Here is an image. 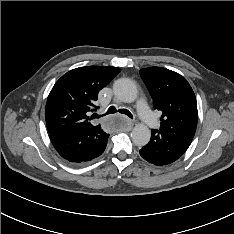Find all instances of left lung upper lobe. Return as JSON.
I'll list each match as a JSON object with an SVG mask.
<instances>
[{
  "mask_svg": "<svg viewBox=\"0 0 234 234\" xmlns=\"http://www.w3.org/2000/svg\"><path fill=\"white\" fill-rule=\"evenodd\" d=\"M153 99L154 109L162 112L158 132L185 151L195 135L198 112L195 94L180 74L161 67L140 70Z\"/></svg>",
  "mask_w": 234,
  "mask_h": 234,
  "instance_id": "5c2ea615",
  "label": "left lung upper lobe"
}]
</instances>
